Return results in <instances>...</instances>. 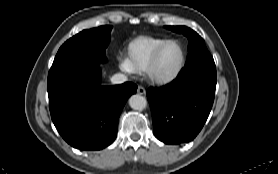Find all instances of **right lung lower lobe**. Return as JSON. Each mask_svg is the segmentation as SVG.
Instances as JSON below:
<instances>
[{
    "label": "right lung lower lobe",
    "instance_id": "right-lung-lower-lobe-1",
    "mask_svg": "<svg viewBox=\"0 0 278 174\" xmlns=\"http://www.w3.org/2000/svg\"><path fill=\"white\" fill-rule=\"evenodd\" d=\"M137 86H100L96 61L79 58L51 67L48 96L52 121L71 146L100 150L116 138L118 119Z\"/></svg>",
    "mask_w": 278,
    "mask_h": 174
}]
</instances>
